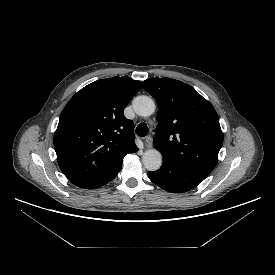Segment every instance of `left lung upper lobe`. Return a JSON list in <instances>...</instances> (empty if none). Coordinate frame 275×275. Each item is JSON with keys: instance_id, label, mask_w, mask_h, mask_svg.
<instances>
[{"instance_id": "left-lung-upper-lobe-1", "label": "left lung upper lobe", "mask_w": 275, "mask_h": 275, "mask_svg": "<svg viewBox=\"0 0 275 275\" xmlns=\"http://www.w3.org/2000/svg\"><path fill=\"white\" fill-rule=\"evenodd\" d=\"M143 83L158 103L154 147L163 160L206 178L216 166L223 144L214 107L181 81L151 78Z\"/></svg>"}]
</instances>
